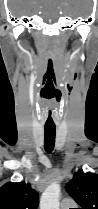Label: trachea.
Instances as JSON below:
<instances>
[{
    "label": "trachea",
    "mask_w": 98,
    "mask_h": 209,
    "mask_svg": "<svg viewBox=\"0 0 98 209\" xmlns=\"http://www.w3.org/2000/svg\"><path fill=\"white\" fill-rule=\"evenodd\" d=\"M55 135H56V128L55 127L45 126L44 148H45L46 152H48V153H51L54 149Z\"/></svg>",
    "instance_id": "trachea-1"
}]
</instances>
